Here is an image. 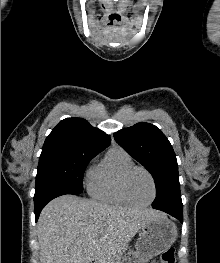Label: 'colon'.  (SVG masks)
I'll use <instances>...</instances> for the list:
<instances>
[{"mask_svg": "<svg viewBox=\"0 0 220 263\" xmlns=\"http://www.w3.org/2000/svg\"><path fill=\"white\" fill-rule=\"evenodd\" d=\"M175 262V250L170 247L165 249L160 257V263H174Z\"/></svg>", "mask_w": 220, "mask_h": 263, "instance_id": "5ec220e1", "label": "colon"}]
</instances>
